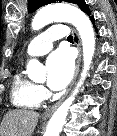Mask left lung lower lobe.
I'll return each instance as SVG.
<instances>
[{"label":"left lung lower lobe","instance_id":"0a47b994","mask_svg":"<svg viewBox=\"0 0 117 136\" xmlns=\"http://www.w3.org/2000/svg\"><path fill=\"white\" fill-rule=\"evenodd\" d=\"M89 15H91V14H89ZM90 18H91V20H92L93 24L95 25V23H94L95 21H94L93 16H91ZM95 29H96V31H98V29H97L96 27H95Z\"/></svg>","mask_w":117,"mask_h":136}]
</instances>
